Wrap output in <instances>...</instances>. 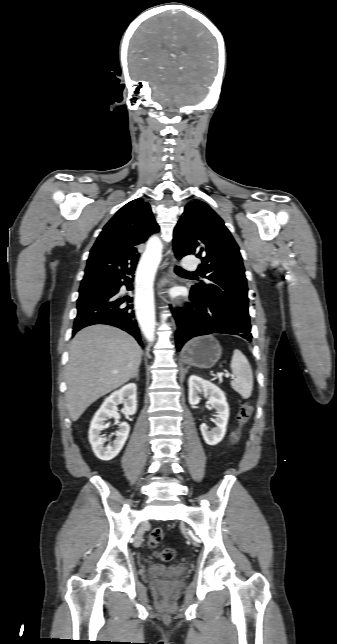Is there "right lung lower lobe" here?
I'll return each mask as SVG.
<instances>
[{"mask_svg":"<svg viewBox=\"0 0 337 644\" xmlns=\"http://www.w3.org/2000/svg\"><path fill=\"white\" fill-rule=\"evenodd\" d=\"M135 267L128 268L112 279L109 290L77 303L78 312L74 321L73 335L86 326L107 324L128 332L143 346L133 305L129 304L132 302V298L119 294L122 285L131 289L128 285L132 283L133 279L128 275L133 276Z\"/></svg>","mask_w":337,"mask_h":644,"instance_id":"right-lung-lower-lobe-1","label":"right lung lower lobe"}]
</instances>
